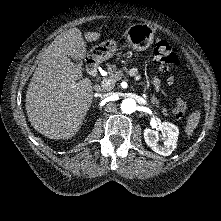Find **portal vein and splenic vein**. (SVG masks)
I'll return each instance as SVG.
<instances>
[{"label": "portal vein and splenic vein", "instance_id": "18ae733b", "mask_svg": "<svg viewBox=\"0 0 221 221\" xmlns=\"http://www.w3.org/2000/svg\"><path fill=\"white\" fill-rule=\"evenodd\" d=\"M111 85H112V81L110 79L102 81V87L105 88V89L110 87Z\"/></svg>", "mask_w": 221, "mask_h": 221}]
</instances>
